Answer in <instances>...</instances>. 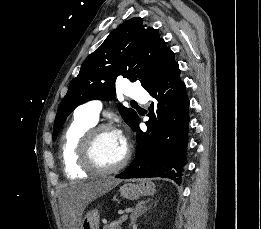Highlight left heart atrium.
<instances>
[{"label": "left heart atrium", "instance_id": "39dd6f15", "mask_svg": "<svg viewBox=\"0 0 261 229\" xmlns=\"http://www.w3.org/2000/svg\"><path fill=\"white\" fill-rule=\"evenodd\" d=\"M119 135H120V138H121L124 146L127 147V139H126L125 135L122 133H119Z\"/></svg>", "mask_w": 261, "mask_h": 229}]
</instances>
